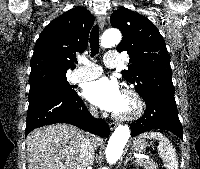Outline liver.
<instances>
[{
  "instance_id": "obj_1",
  "label": "liver",
  "mask_w": 200,
  "mask_h": 169,
  "mask_svg": "<svg viewBox=\"0 0 200 169\" xmlns=\"http://www.w3.org/2000/svg\"><path fill=\"white\" fill-rule=\"evenodd\" d=\"M83 131L68 124H55L32 131L26 139L28 169H76ZM97 147L99 139L92 138Z\"/></svg>"
}]
</instances>
